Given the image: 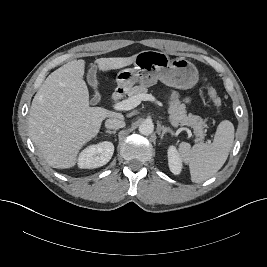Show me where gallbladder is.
<instances>
[{
  "label": "gallbladder",
  "mask_w": 267,
  "mask_h": 267,
  "mask_svg": "<svg viewBox=\"0 0 267 267\" xmlns=\"http://www.w3.org/2000/svg\"><path fill=\"white\" fill-rule=\"evenodd\" d=\"M96 71H97L96 67L92 66L87 75V81L89 85L92 86L95 90L97 89V85H98ZM99 100H100V96L96 95L95 99L92 100L91 103L96 104Z\"/></svg>",
  "instance_id": "1"
}]
</instances>
